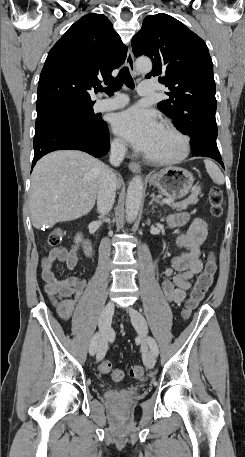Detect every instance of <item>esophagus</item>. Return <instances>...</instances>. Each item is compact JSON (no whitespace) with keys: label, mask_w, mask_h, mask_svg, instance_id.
Wrapping results in <instances>:
<instances>
[{"label":"esophagus","mask_w":245,"mask_h":457,"mask_svg":"<svg viewBox=\"0 0 245 457\" xmlns=\"http://www.w3.org/2000/svg\"><path fill=\"white\" fill-rule=\"evenodd\" d=\"M125 64L129 68L131 74L135 77L136 76V69H135V63H134V55H133L131 49H129L128 52H127V57H126V60H125ZM128 167L134 173L140 172V170H141V167H140L139 163H137V162H129Z\"/></svg>","instance_id":"1"}]
</instances>
